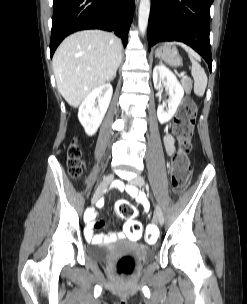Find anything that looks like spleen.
<instances>
[{"instance_id":"spleen-1","label":"spleen","mask_w":247,"mask_h":304,"mask_svg":"<svg viewBox=\"0 0 247 304\" xmlns=\"http://www.w3.org/2000/svg\"><path fill=\"white\" fill-rule=\"evenodd\" d=\"M186 51L189 53L192 63L191 74L194 78V93L201 97L204 95L207 86V75L201 65L196 61L195 54L190 50Z\"/></svg>"}]
</instances>
